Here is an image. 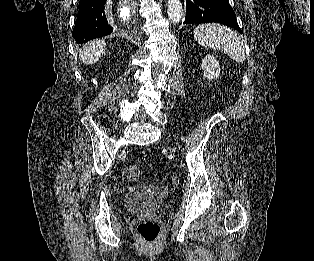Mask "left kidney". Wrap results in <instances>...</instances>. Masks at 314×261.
<instances>
[{
  "mask_svg": "<svg viewBox=\"0 0 314 261\" xmlns=\"http://www.w3.org/2000/svg\"><path fill=\"white\" fill-rule=\"evenodd\" d=\"M202 69L204 77L208 80L217 79L220 75V66L212 55H206L202 60Z\"/></svg>",
  "mask_w": 314,
  "mask_h": 261,
  "instance_id": "obj_1",
  "label": "left kidney"
}]
</instances>
